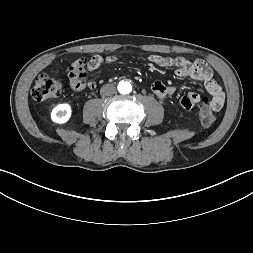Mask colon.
<instances>
[{
  "instance_id": "1",
  "label": "colon",
  "mask_w": 253,
  "mask_h": 253,
  "mask_svg": "<svg viewBox=\"0 0 253 253\" xmlns=\"http://www.w3.org/2000/svg\"><path fill=\"white\" fill-rule=\"evenodd\" d=\"M115 60V56L96 55L91 58L89 68L94 69L101 64L110 63ZM70 80L68 89L72 93H80L90 91L98 86L96 79L86 78L85 63L81 60H74L69 67ZM62 85L59 80L46 74L39 75L32 87L31 95L36 101H45L53 97H57L61 93ZM199 120L203 127H210L215 122L216 116L212 108L207 104H202L199 110Z\"/></svg>"
}]
</instances>
